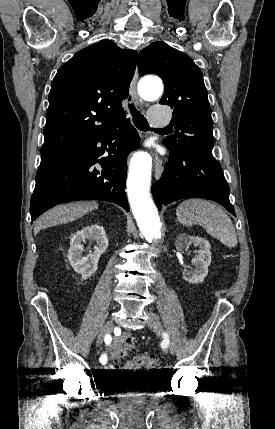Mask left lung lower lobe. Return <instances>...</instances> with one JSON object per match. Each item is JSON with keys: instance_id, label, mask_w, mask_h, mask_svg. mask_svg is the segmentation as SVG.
<instances>
[{"instance_id": "obj_1", "label": "left lung lower lobe", "mask_w": 275, "mask_h": 429, "mask_svg": "<svg viewBox=\"0 0 275 429\" xmlns=\"http://www.w3.org/2000/svg\"><path fill=\"white\" fill-rule=\"evenodd\" d=\"M168 165L161 178L152 186L154 201L162 205L183 198H205L224 206L236 216L229 201V186L220 163L203 150L175 153L171 150Z\"/></svg>"}]
</instances>
